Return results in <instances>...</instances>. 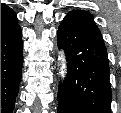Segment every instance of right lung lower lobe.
I'll list each match as a JSON object with an SVG mask.
<instances>
[{"instance_id": "obj_1", "label": "right lung lower lobe", "mask_w": 121, "mask_h": 113, "mask_svg": "<svg viewBox=\"0 0 121 113\" xmlns=\"http://www.w3.org/2000/svg\"><path fill=\"white\" fill-rule=\"evenodd\" d=\"M21 29L18 24L1 34V113H12L23 66Z\"/></svg>"}]
</instances>
